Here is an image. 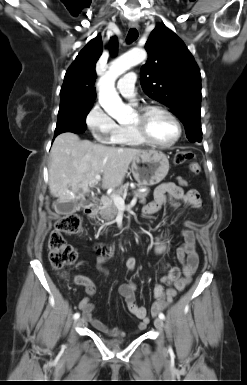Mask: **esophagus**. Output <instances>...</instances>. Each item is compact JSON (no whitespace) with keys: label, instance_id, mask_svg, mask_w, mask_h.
I'll return each instance as SVG.
<instances>
[{"label":"esophagus","instance_id":"esophagus-1","mask_svg":"<svg viewBox=\"0 0 247 385\" xmlns=\"http://www.w3.org/2000/svg\"><path fill=\"white\" fill-rule=\"evenodd\" d=\"M129 28H135V29H137V28H139V25H138L137 22H130V23H129Z\"/></svg>","mask_w":247,"mask_h":385}]
</instances>
